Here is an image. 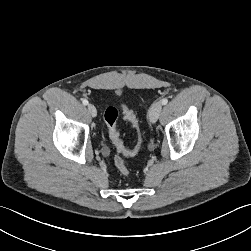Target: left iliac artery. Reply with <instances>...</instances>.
I'll return each instance as SVG.
<instances>
[{"label":"left iliac artery","mask_w":251,"mask_h":251,"mask_svg":"<svg viewBox=\"0 0 251 251\" xmlns=\"http://www.w3.org/2000/svg\"><path fill=\"white\" fill-rule=\"evenodd\" d=\"M161 103L162 105H166L168 103V99L167 98L162 99Z\"/></svg>","instance_id":"44dca946"}]
</instances>
